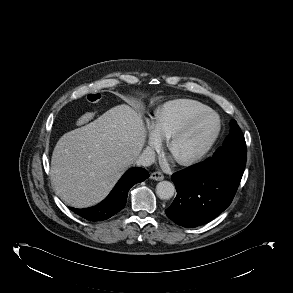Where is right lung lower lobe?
Segmentation results:
<instances>
[{
	"mask_svg": "<svg viewBox=\"0 0 293 293\" xmlns=\"http://www.w3.org/2000/svg\"><path fill=\"white\" fill-rule=\"evenodd\" d=\"M148 177L149 173L147 170L134 167L121 177L114 189L101 203L86 209H75L70 207V210L89 221H102L108 219L124 208L128 190L131 186L144 181Z\"/></svg>",
	"mask_w": 293,
	"mask_h": 293,
	"instance_id": "obj_1",
	"label": "right lung lower lobe"
}]
</instances>
